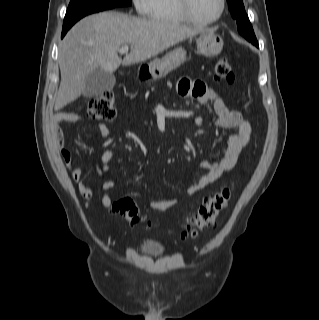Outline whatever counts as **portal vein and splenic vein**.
Masks as SVG:
<instances>
[{
    "instance_id": "portal-vein-and-splenic-vein-1",
    "label": "portal vein and splenic vein",
    "mask_w": 319,
    "mask_h": 320,
    "mask_svg": "<svg viewBox=\"0 0 319 320\" xmlns=\"http://www.w3.org/2000/svg\"><path fill=\"white\" fill-rule=\"evenodd\" d=\"M128 50H129V47H128V46H123V47H121V48L119 49V53L125 54V53L128 52Z\"/></svg>"
}]
</instances>
